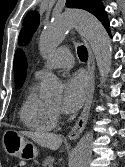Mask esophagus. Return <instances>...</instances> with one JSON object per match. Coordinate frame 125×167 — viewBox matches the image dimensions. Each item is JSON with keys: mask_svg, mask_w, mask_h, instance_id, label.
<instances>
[{"mask_svg": "<svg viewBox=\"0 0 125 167\" xmlns=\"http://www.w3.org/2000/svg\"><path fill=\"white\" fill-rule=\"evenodd\" d=\"M83 42L85 46L87 47L89 58H88V63H87V69L89 73V88L87 92V97H86V102L84 105V108L82 110V113L80 117L78 118L76 124L74 127L71 129V131L68 133V138L70 140H75L77 139L81 133L83 132L88 117L90 113V108L94 96V90H95V60H94V54L93 51L86 39L83 38Z\"/></svg>", "mask_w": 125, "mask_h": 167, "instance_id": "obj_1", "label": "esophagus"}]
</instances>
